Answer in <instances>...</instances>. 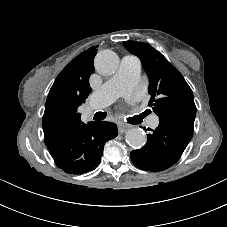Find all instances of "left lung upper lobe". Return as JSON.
Masks as SVG:
<instances>
[{"instance_id":"obj_1","label":"left lung upper lobe","mask_w":227,"mask_h":227,"mask_svg":"<svg viewBox=\"0 0 227 227\" xmlns=\"http://www.w3.org/2000/svg\"><path fill=\"white\" fill-rule=\"evenodd\" d=\"M123 45L142 62L149 78L148 106L158 115L159 121L193 132L196 106L192 90L181 73L147 43L125 41Z\"/></svg>"}]
</instances>
